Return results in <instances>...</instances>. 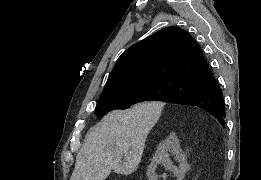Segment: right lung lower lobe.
Returning <instances> with one entry per match:
<instances>
[{
    "label": "right lung lower lobe",
    "instance_id": "right-lung-lower-lobe-1",
    "mask_svg": "<svg viewBox=\"0 0 261 180\" xmlns=\"http://www.w3.org/2000/svg\"><path fill=\"white\" fill-rule=\"evenodd\" d=\"M167 102L190 104L200 107L216 118L220 124H225V103L223 93L212 73L199 83L197 89L173 97Z\"/></svg>",
    "mask_w": 261,
    "mask_h": 180
}]
</instances>
